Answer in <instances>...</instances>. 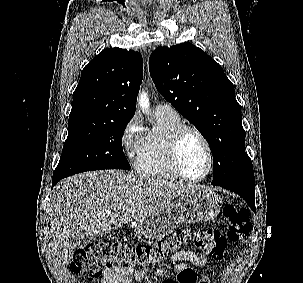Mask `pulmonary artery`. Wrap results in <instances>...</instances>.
Listing matches in <instances>:
<instances>
[{
  "label": "pulmonary artery",
  "instance_id": "1",
  "mask_svg": "<svg viewBox=\"0 0 303 283\" xmlns=\"http://www.w3.org/2000/svg\"><path fill=\"white\" fill-rule=\"evenodd\" d=\"M156 111L164 113H175L176 111L169 104H159L156 106Z\"/></svg>",
  "mask_w": 303,
  "mask_h": 283
}]
</instances>
